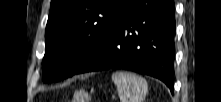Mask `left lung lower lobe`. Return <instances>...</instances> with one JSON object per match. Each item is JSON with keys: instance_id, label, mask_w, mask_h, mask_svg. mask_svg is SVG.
<instances>
[{"instance_id": "1", "label": "left lung lower lobe", "mask_w": 221, "mask_h": 102, "mask_svg": "<svg viewBox=\"0 0 221 102\" xmlns=\"http://www.w3.org/2000/svg\"><path fill=\"white\" fill-rule=\"evenodd\" d=\"M174 34L172 0H129L106 39L75 74L126 69L158 78L173 92Z\"/></svg>"}]
</instances>
